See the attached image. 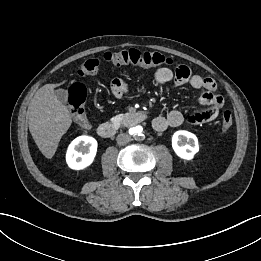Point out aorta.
<instances>
[{"label": "aorta", "mask_w": 261, "mask_h": 261, "mask_svg": "<svg viewBox=\"0 0 261 261\" xmlns=\"http://www.w3.org/2000/svg\"><path fill=\"white\" fill-rule=\"evenodd\" d=\"M130 131L134 137H140L142 135L143 128L138 125L131 128Z\"/></svg>", "instance_id": "1"}]
</instances>
